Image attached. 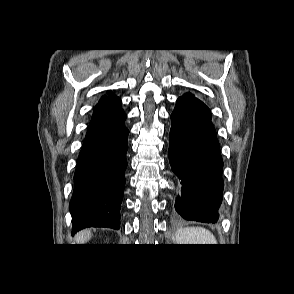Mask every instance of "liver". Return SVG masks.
<instances>
[{
  "instance_id": "obj_1",
  "label": "liver",
  "mask_w": 294,
  "mask_h": 294,
  "mask_svg": "<svg viewBox=\"0 0 294 294\" xmlns=\"http://www.w3.org/2000/svg\"><path fill=\"white\" fill-rule=\"evenodd\" d=\"M92 233L90 230L85 229L80 232H78L75 235V241L79 244H84L85 242L89 241L91 239Z\"/></svg>"
}]
</instances>
